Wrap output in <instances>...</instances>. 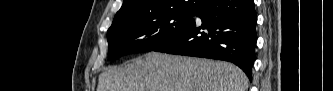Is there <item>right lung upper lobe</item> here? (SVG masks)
<instances>
[{"label": "right lung upper lobe", "mask_w": 333, "mask_h": 91, "mask_svg": "<svg viewBox=\"0 0 333 91\" xmlns=\"http://www.w3.org/2000/svg\"><path fill=\"white\" fill-rule=\"evenodd\" d=\"M207 0H124L113 23H122L161 12H197Z\"/></svg>", "instance_id": "1"}]
</instances>
